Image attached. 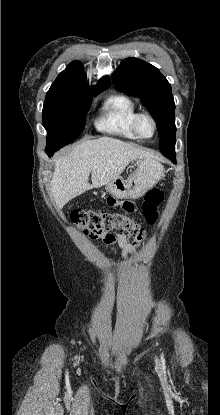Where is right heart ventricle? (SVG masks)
I'll list each match as a JSON object with an SVG mask.
<instances>
[{
    "mask_svg": "<svg viewBox=\"0 0 220 415\" xmlns=\"http://www.w3.org/2000/svg\"><path fill=\"white\" fill-rule=\"evenodd\" d=\"M137 113L135 103L129 97L112 96L104 104L97 127L101 131L125 139H137L132 129V122Z\"/></svg>",
    "mask_w": 220,
    "mask_h": 415,
    "instance_id": "right-heart-ventricle-1",
    "label": "right heart ventricle"
}]
</instances>
